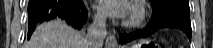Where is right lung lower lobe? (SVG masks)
I'll list each match as a JSON object with an SVG mask.
<instances>
[{"label":"right lung lower lobe","mask_w":213,"mask_h":48,"mask_svg":"<svg viewBox=\"0 0 213 48\" xmlns=\"http://www.w3.org/2000/svg\"><path fill=\"white\" fill-rule=\"evenodd\" d=\"M61 18L75 28L87 20V10L82 0H30L28 4V39L37 25Z\"/></svg>","instance_id":"98d812e1"}]
</instances>
